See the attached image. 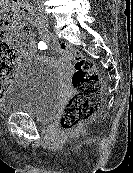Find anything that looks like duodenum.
Returning a JSON list of instances; mask_svg holds the SVG:
<instances>
[{"mask_svg": "<svg viewBox=\"0 0 133 173\" xmlns=\"http://www.w3.org/2000/svg\"><path fill=\"white\" fill-rule=\"evenodd\" d=\"M12 1L13 3L17 4L20 7L24 17H26L27 19H31L32 7L30 4H28L24 0H12Z\"/></svg>", "mask_w": 133, "mask_h": 173, "instance_id": "duodenum-1", "label": "duodenum"}]
</instances>
